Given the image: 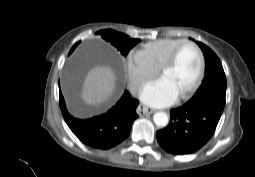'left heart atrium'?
Returning <instances> with one entry per match:
<instances>
[{
  "label": "left heart atrium",
  "mask_w": 255,
  "mask_h": 177,
  "mask_svg": "<svg viewBox=\"0 0 255 177\" xmlns=\"http://www.w3.org/2000/svg\"><path fill=\"white\" fill-rule=\"evenodd\" d=\"M178 91L165 78L161 77L147 84L141 92V100L151 107H165L179 97Z\"/></svg>",
  "instance_id": "1"
}]
</instances>
